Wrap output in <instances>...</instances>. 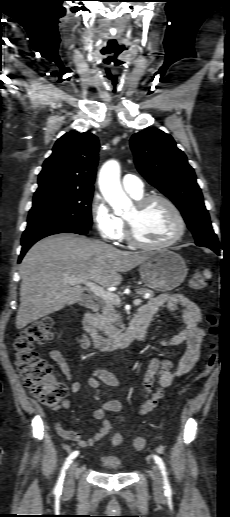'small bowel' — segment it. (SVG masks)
Masks as SVG:
<instances>
[{
  "label": "small bowel",
  "mask_w": 230,
  "mask_h": 517,
  "mask_svg": "<svg viewBox=\"0 0 230 517\" xmlns=\"http://www.w3.org/2000/svg\"><path fill=\"white\" fill-rule=\"evenodd\" d=\"M161 306H166L171 312H181L184 328L178 334L168 340L157 339L151 334H145L144 341L157 342L163 346H174L186 343L187 350L182 356L176 369H172L171 362L165 358H153L147 363L146 373L143 377L144 400L139 407V413L146 415L155 410L160 400L164 397L165 389L171 386L174 381L186 375L195 365L200 356L201 343L206 336V331L201 327L202 313L198 305L181 293H164L150 299L141 309L151 311L153 314ZM78 344L83 349L91 346L89 338L85 335L77 338ZM50 358L59 366L64 377L70 382L69 390L76 393L80 390V382L73 379L71 369L59 349H52L49 352ZM87 383L94 391L93 400L99 407L93 410V418L102 421V426L94 433L93 437L82 438L78 431L68 430L63 427L57 419L55 423L56 432L60 437L68 441L77 442L80 447L93 446L97 441L111 432L110 422L105 419L106 412H119L123 405L116 400H107L100 392L102 384L110 387H119L120 381L109 370L97 368L88 378ZM70 402L62 401L61 405L53 409L56 417L62 409H68ZM120 437V441L113 443L119 445L123 442L120 434H113Z\"/></svg>",
  "instance_id": "c3829d8e"
}]
</instances>
